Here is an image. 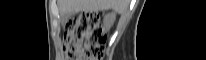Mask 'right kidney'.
<instances>
[{"mask_svg": "<svg viewBox=\"0 0 206 60\" xmlns=\"http://www.w3.org/2000/svg\"><path fill=\"white\" fill-rule=\"evenodd\" d=\"M114 19H115V14L114 13H111V14H107L104 18V23H105V26L107 28H110L111 25L113 24L114 22Z\"/></svg>", "mask_w": 206, "mask_h": 60, "instance_id": "right-kidney-1", "label": "right kidney"}]
</instances>
